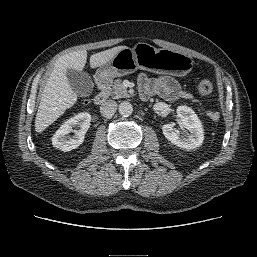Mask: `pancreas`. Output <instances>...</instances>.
Returning a JSON list of instances; mask_svg holds the SVG:
<instances>
[{"label": "pancreas", "instance_id": "obj_1", "mask_svg": "<svg viewBox=\"0 0 257 257\" xmlns=\"http://www.w3.org/2000/svg\"><path fill=\"white\" fill-rule=\"evenodd\" d=\"M106 94L114 99L129 97L127 89L122 85L121 79H116L112 87L106 91Z\"/></svg>", "mask_w": 257, "mask_h": 257}]
</instances>
